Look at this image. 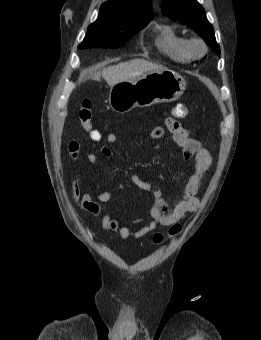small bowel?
Masks as SVG:
<instances>
[{"mask_svg": "<svg viewBox=\"0 0 261 340\" xmlns=\"http://www.w3.org/2000/svg\"><path fill=\"white\" fill-rule=\"evenodd\" d=\"M165 126L172 134L175 143L182 148L184 158L187 160L194 159V172L187 180L181 199L172 205L166 203L160 189L154 188L149 182L142 180L136 174L130 175V180L135 186L150 192L155 199L154 204L149 209L152 220L138 228L135 232L132 233L130 227L120 225L116 219L105 212L103 204L111 199V193L109 191H103L98 194L97 198H94L90 193L81 194L79 185L76 181H72L71 183L74 205L92 215H102V227L108 231L118 232L122 239H127L130 236L139 239L156 230L158 226L175 224L186 213L194 212L199 207L197 194L201 189L204 175L210 169L212 157L206 149L202 148L200 142L191 137L189 132L174 118H166ZM149 134L154 139H160L164 136L165 130L161 126H155L149 130ZM117 139L118 137L114 133L108 134L105 138L106 142L109 144L115 143ZM94 147L97 151L92 152L87 156V161L91 165L94 166L97 163V152L102 153L105 157H111L112 153L108 147L96 145H94ZM67 150L73 161H78L80 159L81 146L77 140H71L68 143Z\"/></svg>", "mask_w": 261, "mask_h": 340, "instance_id": "c3829d8e", "label": "small bowel"}]
</instances>
